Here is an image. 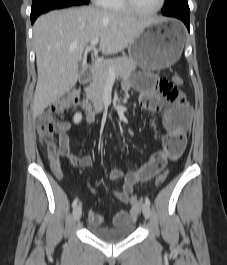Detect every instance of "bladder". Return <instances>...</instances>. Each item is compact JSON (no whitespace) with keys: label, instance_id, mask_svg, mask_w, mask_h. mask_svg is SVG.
I'll return each instance as SVG.
<instances>
[{"label":"bladder","instance_id":"31cf9c89","mask_svg":"<svg viewBox=\"0 0 227 265\" xmlns=\"http://www.w3.org/2000/svg\"><path fill=\"white\" fill-rule=\"evenodd\" d=\"M89 232L97 239L106 243H117L128 239L135 230L133 221L114 227H100L89 225Z\"/></svg>","mask_w":227,"mask_h":265}]
</instances>
